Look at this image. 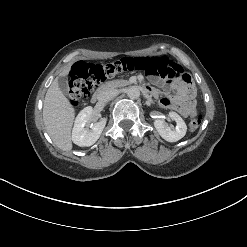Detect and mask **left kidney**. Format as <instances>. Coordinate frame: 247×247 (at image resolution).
Here are the masks:
<instances>
[{"label": "left kidney", "instance_id": "obj_1", "mask_svg": "<svg viewBox=\"0 0 247 247\" xmlns=\"http://www.w3.org/2000/svg\"><path fill=\"white\" fill-rule=\"evenodd\" d=\"M168 116L176 122V127L171 128L161 119L154 121V126L160 136L168 142H176L183 138L187 131V126L184 120L176 112H169Z\"/></svg>", "mask_w": 247, "mask_h": 247}]
</instances>
